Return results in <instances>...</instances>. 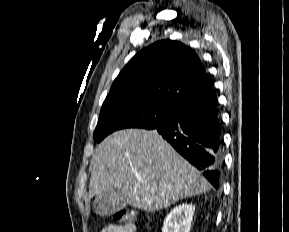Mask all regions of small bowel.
<instances>
[{
  "instance_id": "1",
  "label": "small bowel",
  "mask_w": 289,
  "mask_h": 232,
  "mask_svg": "<svg viewBox=\"0 0 289 232\" xmlns=\"http://www.w3.org/2000/svg\"><path fill=\"white\" fill-rule=\"evenodd\" d=\"M137 226L134 223H129L126 225H115L110 224L104 227L100 232H136Z\"/></svg>"
}]
</instances>
